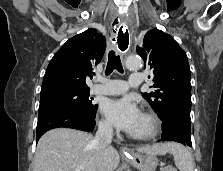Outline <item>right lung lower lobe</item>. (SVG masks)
Segmentation results:
<instances>
[{"label":"right lung lower lobe","instance_id":"right-lung-lower-lobe-1","mask_svg":"<svg viewBox=\"0 0 223 171\" xmlns=\"http://www.w3.org/2000/svg\"><path fill=\"white\" fill-rule=\"evenodd\" d=\"M95 116L96 113L90 115L70 107L49 109L39 114L36 141H38L46 131L59 127L91 132L95 127Z\"/></svg>","mask_w":223,"mask_h":171}]
</instances>
